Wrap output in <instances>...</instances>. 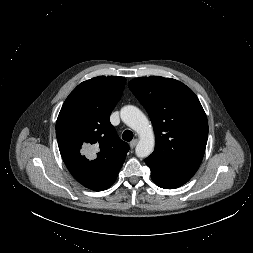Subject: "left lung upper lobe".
<instances>
[{"label":"left lung upper lobe","instance_id":"1","mask_svg":"<svg viewBox=\"0 0 253 253\" xmlns=\"http://www.w3.org/2000/svg\"><path fill=\"white\" fill-rule=\"evenodd\" d=\"M128 86L147 110L156 136L154 152L146 159L193 177L208 138L207 117L195 93L180 81L161 76L135 78Z\"/></svg>","mask_w":253,"mask_h":253}]
</instances>
